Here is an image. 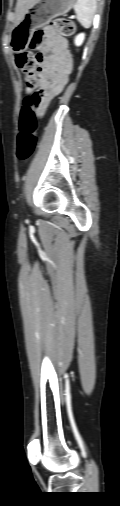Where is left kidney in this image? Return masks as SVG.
I'll use <instances>...</instances> for the list:
<instances>
[{
	"label": "left kidney",
	"mask_w": 120,
	"mask_h": 506,
	"mask_svg": "<svg viewBox=\"0 0 120 506\" xmlns=\"http://www.w3.org/2000/svg\"><path fill=\"white\" fill-rule=\"evenodd\" d=\"M84 38H85V35L82 33L77 35L75 38V45L80 46L83 43Z\"/></svg>",
	"instance_id": "obj_1"
}]
</instances>
